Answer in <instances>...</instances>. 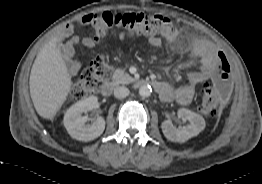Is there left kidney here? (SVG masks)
<instances>
[{"instance_id":"obj_1","label":"left kidney","mask_w":262,"mask_h":184,"mask_svg":"<svg viewBox=\"0 0 262 184\" xmlns=\"http://www.w3.org/2000/svg\"><path fill=\"white\" fill-rule=\"evenodd\" d=\"M178 116L188 120L189 125L181 130L177 129L170 120H165L161 125L164 136L172 142H186L188 139L197 136L205 128L204 118L189 109H179Z\"/></svg>"}]
</instances>
